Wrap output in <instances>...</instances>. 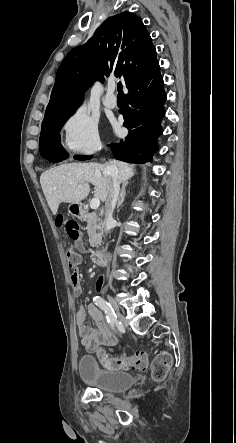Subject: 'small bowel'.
<instances>
[{"label":"small bowel","instance_id":"obj_1","mask_svg":"<svg viewBox=\"0 0 236 443\" xmlns=\"http://www.w3.org/2000/svg\"><path fill=\"white\" fill-rule=\"evenodd\" d=\"M77 248L80 251L84 250V244L81 239L77 240ZM77 281L73 282V293L78 296L82 292L77 271ZM72 272V273H73ZM72 279V274H71ZM104 289V278L100 277L96 283V291L100 292ZM89 314L96 330L85 326L86 314ZM76 324L80 330L82 345L88 351H95L98 344L103 343L106 346H113L116 344V337L111 330V325L107 321V317L94 305L89 304L87 308L80 306L76 314Z\"/></svg>","mask_w":236,"mask_h":443}]
</instances>
